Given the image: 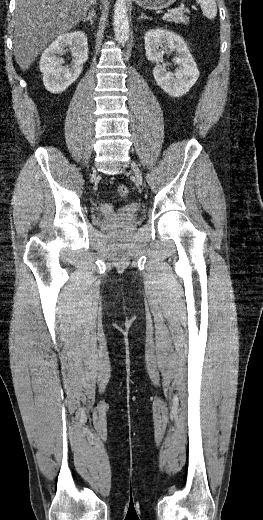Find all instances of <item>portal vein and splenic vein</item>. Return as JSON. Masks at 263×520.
<instances>
[{"mask_svg":"<svg viewBox=\"0 0 263 520\" xmlns=\"http://www.w3.org/2000/svg\"><path fill=\"white\" fill-rule=\"evenodd\" d=\"M170 15V12L168 11L167 13L164 14L163 18H167L168 16Z\"/></svg>","mask_w":263,"mask_h":520,"instance_id":"1","label":"portal vein and splenic vein"}]
</instances>
